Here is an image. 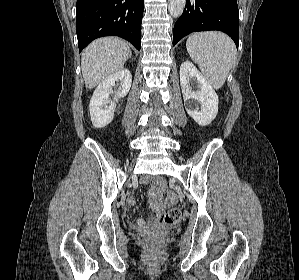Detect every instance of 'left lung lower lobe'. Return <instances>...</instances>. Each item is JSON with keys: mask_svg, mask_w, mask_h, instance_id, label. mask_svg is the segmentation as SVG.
Instances as JSON below:
<instances>
[{"mask_svg": "<svg viewBox=\"0 0 299 280\" xmlns=\"http://www.w3.org/2000/svg\"><path fill=\"white\" fill-rule=\"evenodd\" d=\"M219 30L227 33L238 47L239 13L236 0H187L173 30V45L196 31Z\"/></svg>", "mask_w": 299, "mask_h": 280, "instance_id": "1", "label": "left lung lower lobe"}]
</instances>
